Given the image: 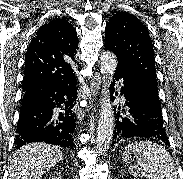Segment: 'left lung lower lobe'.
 Returning <instances> with one entry per match:
<instances>
[{"mask_svg":"<svg viewBox=\"0 0 183 179\" xmlns=\"http://www.w3.org/2000/svg\"><path fill=\"white\" fill-rule=\"evenodd\" d=\"M114 79L123 80L121 94L126 99L127 117L116 114L112 145L122 139L134 137L159 140L169 146L161 112L148 103L137 83L125 72L116 71Z\"/></svg>","mask_w":183,"mask_h":179,"instance_id":"obj_1","label":"left lung lower lobe"}]
</instances>
